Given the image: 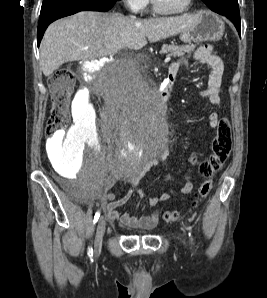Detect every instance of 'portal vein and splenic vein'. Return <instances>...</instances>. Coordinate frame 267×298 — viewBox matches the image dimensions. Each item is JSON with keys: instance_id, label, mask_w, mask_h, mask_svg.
<instances>
[{"instance_id": "portal-vein-and-splenic-vein-1", "label": "portal vein and splenic vein", "mask_w": 267, "mask_h": 298, "mask_svg": "<svg viewBox=\"0 0 267 298\" xmlns=\"http://www.w3.org/2000/svg\"><path fill=\"white\" fill-rule=\"evenodd\" d=\"M170 59H171L170 56H167L165 61H169Z\"/></svg>"}]
</instances>
